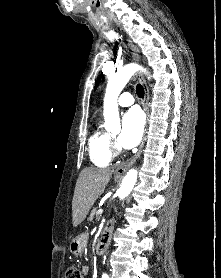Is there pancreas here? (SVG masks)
<instances>
[{"instance_id":"cf45deb5","label":"pancreas","mask_w":221,"mask_h":278,"mask_svg":"<svg viewBox=\"0 0 221 278\" xmlns=\"http://www.w3.org/2000/svg\"><path fill=\"white\" fill-rule=\"evenodd\" d=\"M97 211H98V208L97 207H94L90 213V216H89V220L90 221H93L94 217H98V214H97Z\"/></svg>"}]
</instances>
